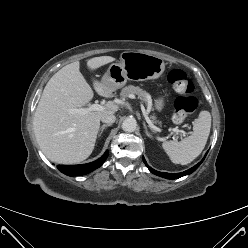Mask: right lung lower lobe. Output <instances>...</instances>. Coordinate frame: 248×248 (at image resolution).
<instances>
[{
    "instance_id": "98d812e1",
    "label": "right lung lower lobe",
    "mask_w": 248,
    "mask_h": 248,
    "mask_svg": "<svg viewBox=\"0 0 248 248\" xmlns=\"http://www.w3.org/2000/svg\"><path fill=\"white\" fill-rule=\"evenodd\" d=\"M108 157V150L98 160L81 165H58L57 168L68 176H80L99 168Z\"/></svg>"
}]
</instances>
